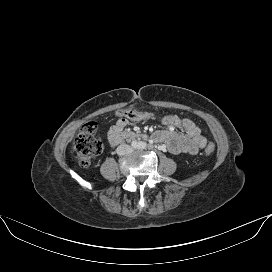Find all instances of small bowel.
Here are the masks:
<instances>
[{
	"instance_id": "small-bowel-1",
	"label": "small bowel",
	"mask_w": 272,
	"mask_h": 272,
	"mask_svg": "<svg viewBox=\"0 0 272 272\" xmlns=\"http://www.w3.org/2000/svg\"><path fill=\"white\" fill-rule=\"evenodd\" d=\"M163 124L171 128H180L184 134L173 129L156 131L153 139L166 145V148L173 154H196L207 144V139L201 134L199 127L188 118H180L176 115L165 116ZM128 124V119L121 117L109 131V139L116 132L123 130Z\"/></svg>"
}]
</instances>
